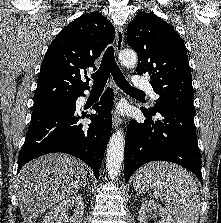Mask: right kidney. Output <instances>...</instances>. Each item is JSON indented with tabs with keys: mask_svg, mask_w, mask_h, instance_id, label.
<instances>
[{
	"mask_svg": "<svg viewBox=\"0 0 221 223\" xmlns=\"http://www.w3.org/2000/svg\"><path fill=\"white\" fill-rule=\"evenodd\" d=\"M74 208V215L67 213L68 209ZM84 215V200L80 195L64 199L52 207L45 215L42 223H82Z\"/></svg>",
	"mask_w": 221,
	"mask_h": 223,
	"instance_id": "obj_1",
	"label": "right kidney"
}]
</instances>
